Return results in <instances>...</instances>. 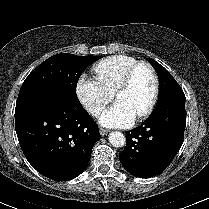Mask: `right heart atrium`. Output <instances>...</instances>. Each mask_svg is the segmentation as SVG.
Wrapping results in <instances>:
<instances>
[{
  "label": "right heart atrium",
  "mask_w": 209,
  "mask_h": 209,
  "mask_svg": "<svg viewBox=\"0 0 209 209\" xmlns=\"http://www.w3.org/2000/svg\"><path fill=\"white\" fill-rule=\"evenodd\" d=\"M77 95L93 116H97L112 100L113 92L108 90L98 78L82 74L77 83Z\"/></svg>",
  "instance_id": "obj_1"
}]
</instances>
